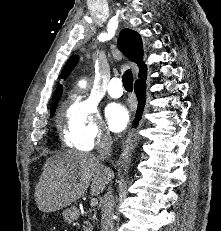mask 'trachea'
Wrapping results in <instances>:
<instances>
[{
    "instance_id": "3493384b",
    "label": "trachea",
    "mask_w": 221,
    "mask_h": 231,
    "mask_svg": "<svg viewBox=\"0 0 221 231\" xmlns=\"http://www.w3.org/2000/svg\"><path fill=\"white\" fill-rule=\"evenodd\" d=\"M122 82L124 85V88L127 91H132L133 90V75L131 70H127L123 76H122Z\"/></svg>"
}]
</instances>
